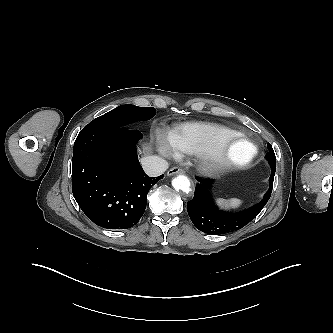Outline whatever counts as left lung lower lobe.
<instances>
[{"label":"left lung lower lobe","instance_id":"obj_1","mask_svg":"<svg viewBox=\"0 0 333 333\" xmlns=\"http://www.w3.org/2000/svg\"><path fill=\"white\" fill-rule=\"evenodd\" d=\"M271 169L269 189L262 201L239 213H228L218 209L210 197L213 181L197 178L199 184L196 185L194 197L187 203V211L195 227L203 232L219 235L239 230L251 222L271 196L276 167Z\"/></svg>","mask_w":333,"mask_h":333}]
</instances>
